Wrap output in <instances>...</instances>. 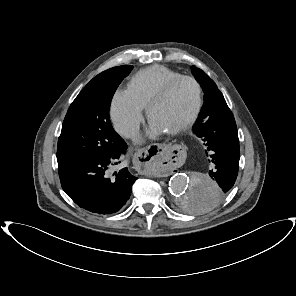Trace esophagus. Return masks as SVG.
Segmentation results:
<instances>
[{
  "mask_svg": "<svg viewBox=\"0 0 296 296\" xmlns=\"http://www.w3.org/2000/svg\"><path fill=\"white\" fill-rule=\"evenodd\" d=\"M176 158V153L172 145L162 141L155 146H142L137 150V155L133 162V171L138 176H147L155 166L170 164Z\"/></svg>",
  "mask_w": 296,
  "mask_h": 296,
  "instance_id": "esophagus-1",
  "label": "esophagus"
}]
</instances>
